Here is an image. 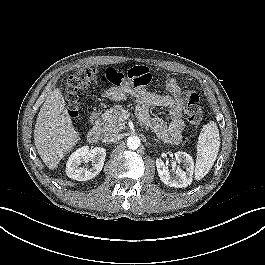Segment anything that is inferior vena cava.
Masks as SVG:
<instances>
[{"instance_id": "602c4592", "label": "inferior vena cava", "mask_w": 265, "mask_h": 265, "mask_svg": "<svg viewBox=\"0 0 265 265\" xmlns=\"http://www.w3.org/2000/svg\"><path fill=\"white\" fill-rule=\"evenodd\" d=\"M120 139V134L117 133H109L105 134L103 141L104 142H116Z\"/></svg>"}]
</instances>
